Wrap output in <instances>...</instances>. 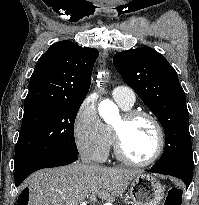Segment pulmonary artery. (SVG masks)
Masks as SVG:
<instances>
[{
    "label": "pulmonary artery",
    "mask_w": 199,
    "mask_h": 205,
    "mask_svg": "<svg viewBox=\"0 0 199 205\" xmlns=\"http://www.w3.org/2000/svg\"><path fill=\"white\" fill-rule=\"evenodd\" d=\"M113 97L117 102L127 105H133L136 100L133 89L128 86H117L113 91Z\"/></svg>",
    "instance_id": "obj_1"
}]
</instances>
